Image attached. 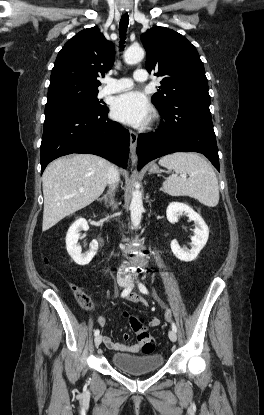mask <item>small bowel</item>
Listing matches in <instances>:
<instances>
[{
    "mask_svg": "<svg viewBox=\"0 0 264 415\" xmlns=\"http://www.w3.org/2000/svg\"><path fill=\"white\" fill-rule=\"evenodd\" d=\"M128 298H129L130 301H132V302H134L138 305H141V306H144V307H146L148 305L147 300L145 298H143L142 296H140V295L132 294V295H129ZM121 319L124 320V321H128L134 331L137 332L139 330V328L135 324L134 318L129 316L128 313H126V312L122 313L121 314ZM97 321L101 326H105L108 322V317L107 316H99ZM158 324H159V320L157 318H152L148 322L149 327H155ZM122 338L126 342L130 339V335L128 333H124L122 335ZM102 339H103L104 344L109 349L118 351L120 353L131 355V354L141 352L142 354H147V352L144 351L143 346H142L141 343L126 344V343H123V342H117V341H114L113 339H111L107 335H103Z\"/></svg>",
    "mask_w": 264,
    "mask_h": 415,
    "instance_id": "1",
    "label": "small bowel"
}]
</instances>
